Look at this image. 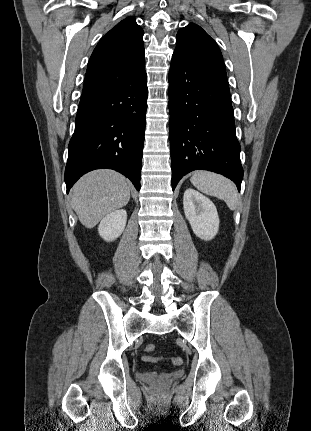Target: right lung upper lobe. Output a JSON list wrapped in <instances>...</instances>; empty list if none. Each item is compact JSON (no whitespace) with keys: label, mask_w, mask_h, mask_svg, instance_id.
<instances>
[{"label":"right lung upper lobe","mask_w":311,"mask_h":431,"mask_svg":"<svg viewBox=\"0 0 311 431\" xmlns=\"http://www.w3.org/2000/svg\"><path fill=\"white\" fill-rule=\"evenodd\" d=\"M143 34L134 17L107 32L91 55L83 91L127 80L144 68Z\"/></svg>","instance_id":"obj_1"}]
</instances>
